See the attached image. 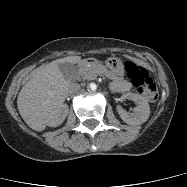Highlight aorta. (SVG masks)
<instances>
[{
	"label": "aorta",
	"instance_id": "1",
	"mask_svg": "<svg viewBox=\"0 0 187 187\" xmlns=\"http://www.w3.org/2000/svg\"><path fill=\"white\" fill-rule=\"evenodd\" d=\"M90 89H91L92 91H95V90L97 89L96 84H94V83L90 84Z\"/></svg>",
	"mask_w": 187,
	"mask_h": 187
}]
</instances>
